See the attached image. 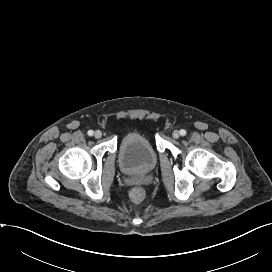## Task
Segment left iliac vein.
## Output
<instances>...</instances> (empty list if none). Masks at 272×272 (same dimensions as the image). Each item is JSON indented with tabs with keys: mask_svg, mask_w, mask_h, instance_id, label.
Wrapping results in <instances>:
<instances>
[{
	"mask_svg": "<svg viewBox=\"0 0 272 272\" xmlns=\"http://www.w3.org/2000/svg\"><path fill=\"white\" fill-rule=\"evenodd\" d=\"M172 136H173L174 139H178L179 136H180V133H179L177 130H175V131L172 133Z\"/></svg>",
	"mask_w": 272,
	"mask_h": 272,
	"instance_id": "left-iliac-vein-1",
	"label": "left iliac vein"
}]
</instances>
